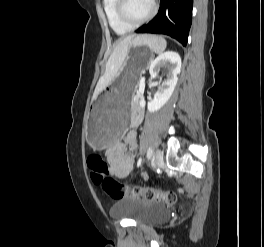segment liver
<instances>
[{"instance_id":"obj_1","label":"liver","mask_w":264,"mask_h":247,"mask_svg":"<svg viewBox=\"0 0 264 247\" xmlns=\"http://www.w3.org/2000/svg\"><path fill=\"white\" fill-rule=\"evenodd\" d=\"M138 37L140 36L136 37L135 35H130L117 42L106 64L105 73L97 83L92 100H95L97 96L115 79V77L118 76L119 70L126 59L132 41Z\"/></svg>"}]
</instances>
